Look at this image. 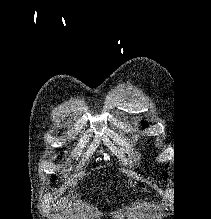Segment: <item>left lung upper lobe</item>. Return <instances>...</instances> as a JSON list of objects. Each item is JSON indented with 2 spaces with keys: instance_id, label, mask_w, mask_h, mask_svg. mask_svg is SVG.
<instances>
[{
  "instance_id": "obj_1",
  "label": "left lung upper lobe",
  "mask_w": 211,
  "mask_h": 219,
  "mask_svg": "<svg viewBox=\"0 0 211 219\" xmlns=\"http://www.w3.org/2000/svg\"><path fill=\"white\" fill-rule=\"evenodd\" d=\"M147 123L146 122H143L142 125L143 127H145L144 125H146ZM167 178V176L165 175V179Z\"/></svg>"
}]
</instances>
